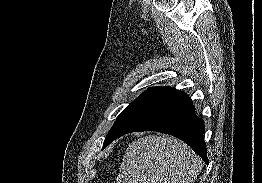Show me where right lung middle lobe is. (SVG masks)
Segmentation results:
<instances>
[{"mask_svg": "<svg viewBox=\"0 0 262 183\" xmlns=\"http://www.w3.org/2000/svg\"><path fill=\"white\" fill-rule=\"evenodd\" d=\"M157 92H144L135 99L116 119L114 125L110 129L104 145L110 144L120 136L127 125L132 122L138 114L146 107L150 100Z\"/></svg>", "mask_w": 262, "mask_h": 183, "instance_id": "dd1d6c3e", "label": "right lung middle lobe"}]
</instances>
